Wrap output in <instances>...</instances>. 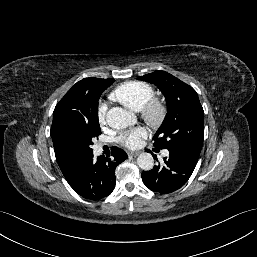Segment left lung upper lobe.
Returning <instances> with one entry per match:
<instances>
[{
    "label": "left lung upper lobe",
    "mask_w": 257,
    "mask_h": 257,
    "mask_svg": "<svg viewBox=\"0 0 257 257\" xmlns=\"http://www.w3.org/2000/svg\"><path fill=\"white\" fill-rule=\"evenodd\" d=\"M138 80L155 84L167 103V114L153 137V145L199 156L204 139V112L196 91L161 70L138 77Z\"/></svg>",
    "instance_id": "5c2ea615"
}]
</instances>
